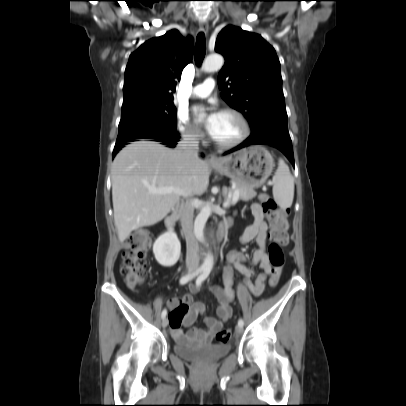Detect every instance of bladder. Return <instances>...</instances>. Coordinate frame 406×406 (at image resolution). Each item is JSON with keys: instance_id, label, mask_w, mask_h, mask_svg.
<instances>
[{"instance_id": "31cf9c89", "label": "bladder", "mask_w": 406, "mask_h": 406, "mask_svg": "<svg viewBox=\"0 0 406 406\" xmlns=\"http://www.w3.org/2000/svg\"><path fill=\"white\" fill-rule=\"evenodd\" d=\"M173 351L177 356L188 360H214L227 355L230 351V346L217 345L207 347L186 342H176L173 345Z\"/></svg>"}]
</instances>
